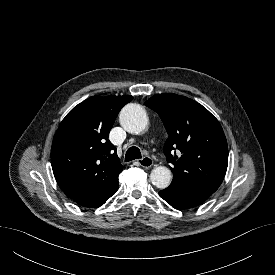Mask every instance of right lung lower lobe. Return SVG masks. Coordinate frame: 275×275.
Listing matches in <instances>:
<instances>
[{
  "label": "right lung lower lobe",
  "instance_id": "right-lung-lower-lobe-1",
  "mask_svg": "<svg viewBox=\"0 0 275 275\" xmlns=\"http://www.w3.org/2000/svg\"><path fill=\"white\" fill-rule=\"evenodd\" d=\"M117 190H118V182L109 189H106L97 193H93L90 195L77 197V198H74L73 200L82 206L95 208L104 204L108 198H110L112 195L116 193Z\"/></svg>",
  "mask_w": 275,
  "mask_h": 275
}]
</instances>
